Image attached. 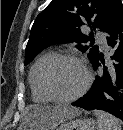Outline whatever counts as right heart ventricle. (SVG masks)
Here are the masks:
<instances>
[{
	"instance_id": "e07e8e85",
	"label": "right heart ventricle",
	"mask_w": 123,
	"mask_h": 130,
	"mask_svg": "<svg viewBox=\"0 0 123 130\" xmlns=\"http://www.w3.org/2000/svg\"><path fill=\"white\" fill-rule=\"evenodd\" d=\"M54 56L52 51L43 52L36 58L30 68L28 81L32 99L37 103H49L53 101L44 88L43 74L46 66Z\"/></svg>"
}]
</instances>
